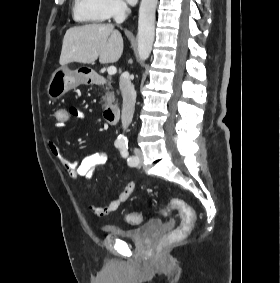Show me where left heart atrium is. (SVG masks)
I'll use <instances>...</instances> for the list:
<instances>
[{
  "label": "left heart atrium",
  "mask_w": 280,
  "mask_h": 283,
  "mask_svg": "<svg viewBox=\"0 0 280 283\" xmlns=\"http://www.w3.org/2000/svg\"><path fill=\"white\" fill-rule=\"evenodd\" d=\"M127 2L131 5H134L137 3V0H127Z\"/></svg>",
  "instance_id": "left-heart-atrium-1"
}]
</instances>
